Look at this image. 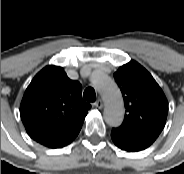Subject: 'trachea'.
Returning a JSON list of instances; mask_svg holds the SVG:
<instances>
[{"instance_id":"1","label":"trachea","mask_w":184,"mask_h":174,"mask_svg":"<svg viewBox=\"0 0 184 174\" xmlns=\"http://www.w3.org/2000/svg\"><path fill=\"white\" fill-rule=\"evenodd\" d=\"M83 97L85 100H87L89 102H95V100H96L95 90L92 87L86 88L84 93H83Z\"/></svg>"}]
</instances>
